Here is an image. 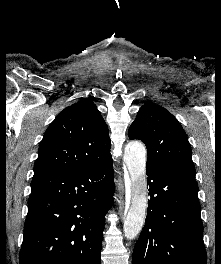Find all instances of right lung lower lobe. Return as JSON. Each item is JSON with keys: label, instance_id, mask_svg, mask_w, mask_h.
Wrapping results in <instances>:
<instances>
[{"label": "right lung lower lobe", "instance_id": "right-lung-lower-lobe-1", "mask_svg": "<svg viewBox=\"0 0 221 264\" xmlns=\"http://www.w3.org/2000/svg\"><path fill=\"white\" fill-rule=\"evenodd\" d=\"M112 162L32 180L20 264H101Z\"/></svg>", "mask_w": 221, "mask_h": 264}]
</instances>
